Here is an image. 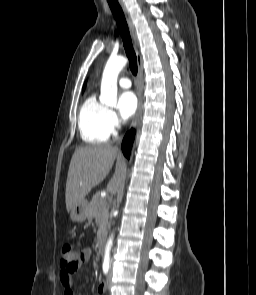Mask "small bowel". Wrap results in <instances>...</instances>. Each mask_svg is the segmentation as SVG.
Returning a JSON list of instances; mask_svg holds the SVG:
<instances>
[{
	"label": "small bowel",
	"mask_w": 256,
	"mask_h": 295,
	"mask_svg": "<svg viewBox=\"0 0 256 295\" xmlns=\"http://www.w3.org/2000/svg\"><path fill=\"white\" fill-rule=\"evenodd\" d=\"M92 256V251L90 248L83 249L79 254V264L75 270L86 264ZM71 271L68 269H62L60 272V280L64 287V295H74L73 294V280H72V273L75 271ZM107 291V287L105 283L99 282L97 285V293L98 295H104Z\"/></svg>",
	"instance_id": "small-bowel-1"
}]
</instances>
